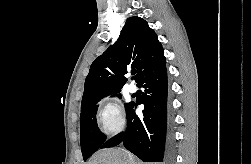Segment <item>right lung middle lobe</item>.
Instances as JSON below:
<instances>
[{"instance_id": "dd1d6c3e", "label": "right lung middle lobe", "mask_w": 251, "mask_h": 164, "mask_svg": "<svg viewBox=\"0 0 251 164\" xmlns=\"http://www.w3.org/2000/svg\"><path fill=\"white\" fill-rule=\"evenodd\" d=\"M114 96L120 97V94L114 93L112 97ZM103 97H100L95 101H93L88 106L81 108L80 134H81V149L84 160H87L106 141V137L102 134V132L99 130L97 126L96 115H95L98 108L96 104ZM129 105L130 103L125 104L126 109L128 108Z\"/></svg>"}]
</instances>
